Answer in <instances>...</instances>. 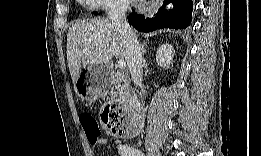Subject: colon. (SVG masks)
<instances>
[{
    "label": "colon",
    "mask_w": 261,
    "mask_h": 156,
    "mask_svg": "<svg viewBox=\"0 0 261 156\" xmlns=\"http://www.w3.org/2000/svg\"><path fill=\"white\" fill-rule=\"evenodd\" d=\"M80 123L89 143L96 144L102 128L112 136L126 137L130 134L124 123L122 112L118 106L105 105L101 112V125L89 113L80 115Z\"/></svg>",
    "instance_id": "5ec220e1"
}]
</instances>
